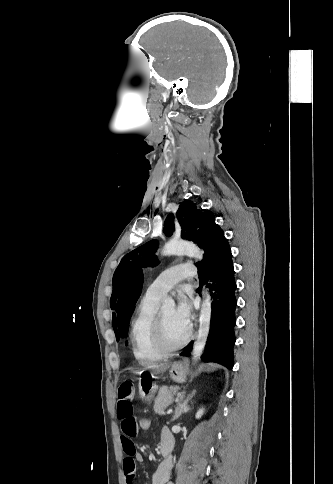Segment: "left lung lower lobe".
<instances>
[{
    "mask_svg": "<svg viewBox=\"0 0 333 484\" xmlns=\"http://www.w3.org/2000/svg\"><path fill=\"white\" fill-rule=\"evenodd\" d=\"M202 249L204 259L198 262L200 287L207 281L210 288L212 312L210 331L202 359L207 362H218L228 369L233 367V346L235 344V289L234 268L229 243L223 230L215 223L209 222ZM190 343L181 353L188 356L192 350Z\"/></svg>",
    "mask_w": 333,
    "mask_h": 484,
    "instance_id": "obj_1",
    "label": "left lung lower lobe"
}]
</instances>
